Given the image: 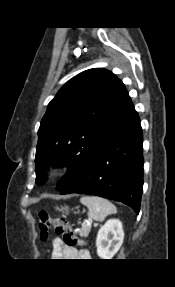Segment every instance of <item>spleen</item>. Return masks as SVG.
Instances as JSON below:
<instances>
[{
  "mask_svg": "<svg viewBox=\"0 0 175 287\" xmlns=\"http://www.w3.org/2000/svg\"><path fill=\"white\" fill-rule=\"evenodd\" d=\"M80 202L88 208V218L95 221H104L110 214H115L117 209L109 200L98 196H83Z\"/></svg>",
  "mask_w": 175,
  "mask_h": 287,
  "instance_id": "obj_1",
  "label": "spleen"
}]
</instances>
